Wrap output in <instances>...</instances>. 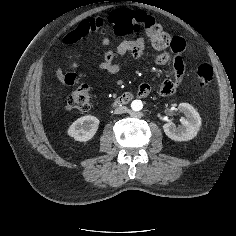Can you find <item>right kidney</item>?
I'll list each match as a JSON object with an SVG mask.
<instances>
[{
    "instance_id": "right-kidney-1",
    "label": "right kidney",
    "mask_w": 236,
    "mask_h": 236,
    "mask_svg": "<svg viewBox=\"0 0 236 236\" xmlns=\"http://www.w3.org/2000/svg\"><path fill=\"white\" fill-rule=\"evenodd\" d=\"M99 122V119L95 116H83L70 125L67 133L76 141H89L96 134L99 127Z\"/></svg>"
}]
</instances>
